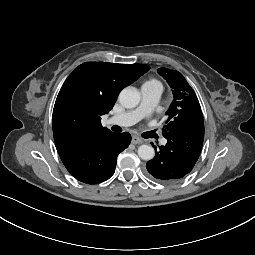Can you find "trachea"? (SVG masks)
<instances>
[{"instance_id":"1","label":"trachea","mask_w":255,"mask_h":255,"mask_svg":"<svg viewBox=\"0 0 255 255\" xmlns=\"http://www.w3.org/2000/svg\"><path fill=\"white\" fill-rule=\"evenodd\" d=\"M113 131L119 132L117 126L112 127Z\"/></svg>"}]
</instances>
